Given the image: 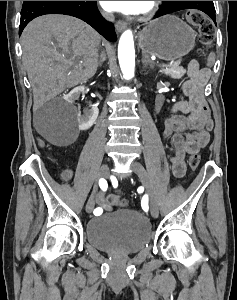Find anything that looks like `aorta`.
<instances>
[{
	"mask_svg": "<svg viewBox=\"0 0 237 300\" xmlns=\"http://www.w3.org/2000/svg\"><path fill=\"white\" fill-rule=\"evenodd\" d=\"M118 59L124 79H132L135 71V49L132 31H124L120 37Z\"/></svg>",
	"mask_w": 237,
	"mask_h": 300,
	"instance_id": "obj_1",
	"label": "aorta"
}]
</instances>
